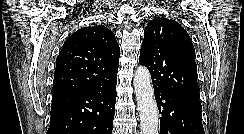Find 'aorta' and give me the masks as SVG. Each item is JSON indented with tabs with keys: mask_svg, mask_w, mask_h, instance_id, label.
Segmentation results:
<instances>
[{
	"mask_svg": "<svg viewBox=\"0 0 244 134\" xmlns=\"http://www.w3.org/2000/svg\"><path fill=\"white\" fill-rule=\"evenodd\" d=\"M134 90L140 116L141 134H158V108L148 69L139 66L134 75Z\"/></svg>",
	"mask_w": 244,
	"mask_h": 134,
	"instance_id": "1",
	"label": "aorta"
}]
</instances>
